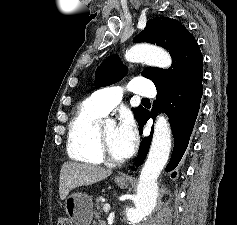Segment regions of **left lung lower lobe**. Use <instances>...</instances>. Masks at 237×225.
Returning <instances> with one entry per match:
<instances>
[{
	"mask_svg": "<svg viewBox=\"0 0 237 225\" xmlns=\"http://www.w3.org/2000/svg\"><path fill=\"white\" fill-rule=\"evenodd\" d=\"M202 94V76H200L178 87L157 89L156 100L151 112L145 108L143 109L138 120L140 134H142L144 124L149 118L155 119L157 112H164L169 117L174 136V148L171 159L166 166V172H170L177 167L187 149L199 112ZM153 129L154 127H152L151 134L143 138L140 144L135 162L137 167L143 163L147 156L152 141ZM132 170L134 171L135 168H132ZM171 176L175 177L176 172L172 173Z\"/></svg>",
	"mask_w": 237,
	"mask_h": 225,
	"instance_id": "left-lung-lower-lobe-1",
	"label": "left lung lower lobe"
}]
</instances>
